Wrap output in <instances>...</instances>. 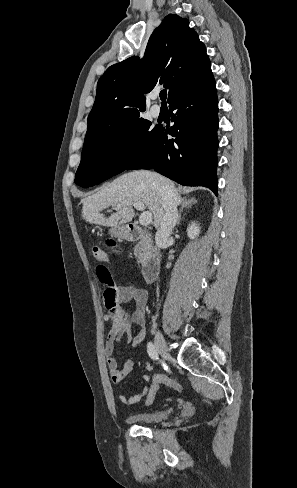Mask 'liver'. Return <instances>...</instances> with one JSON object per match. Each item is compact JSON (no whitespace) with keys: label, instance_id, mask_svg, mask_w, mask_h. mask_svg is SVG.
<instances>
[{"label":"liver","instance_id":"liver-1","mask_svg":"<svg viewBox=\"0 0 297 488\" xmlns=\"http://www.w3.org/2000/svg\"><path fill=\"white\" fill-rule=\"evenodd\" d=\"M163 185L169 186L179 204L182 200L181 196L169 179L146 170L125 173L97 193L81 200L82 217L91 224L121 226L133 219L135 215L133 204L142 202L153 214L154 224L158 227L163 215V200L160 192ZM117 205H120V208H116ZM111 206L116 208V212L107 218L101 211Z\"/></svg>","mask_w":297,"mask_h":488}]
</instances>
